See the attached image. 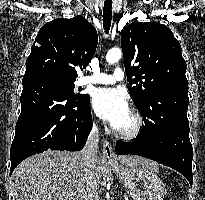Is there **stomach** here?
I'll return each mask as SVG.
<instances>
[{
  "label": "stomach",
  "instance_id": "0dacf381",
  "mask_svg": "<svg viewBox=\"0 0 205 200\" xmlns=\"http://www.w3.org/2000/svg\"><path fill=\"white\" fill-rule=\"evenodd\" d=\"M113 172L123 182L133 200H163L165 185L153 168L146 165H112Z\"/></svg>",
  "mask_w": 205,
  "mask_h": 200
}]
</instances>
